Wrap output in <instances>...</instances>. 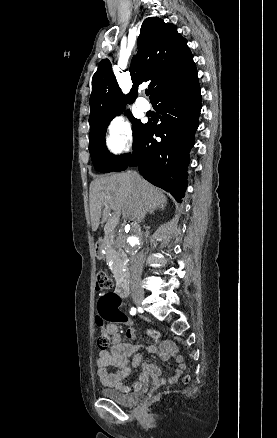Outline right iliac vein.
I'll return each mask as SVG.
<instances>
[{
    "label": "right iliac vein",
    "mask_w": 277,
    "mask_h": 438,
    "mask_svg": "<svg viewBox=\"0 0 277 438\" xmlns=\"http://www.w3.org/2000/svg\"><path fill=\"white\" fill-rule=\"evenodd\" d=\"M143 301V296L142 295H138L134 297V302L137 306H140L142 304Z\"/></svg>",
    "instance_id": "obj_1"
}]
</instances>
